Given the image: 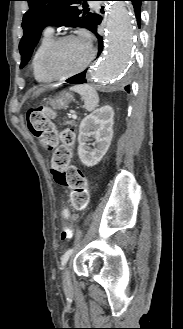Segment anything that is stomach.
I'll use <instances>...</instances> for the list:
<instances>
[{
    "label": "stomach",
    "mask_w": 183,
    "mask_h": 329,
    "mask_svg": "<svg viewBox=\"0 0 183 329\" xmlns=\"http://www.w3.org/2000/svg\"><path fill=\"white\" fill-rule=\"evenodd\" d=\"M73 99L74 98L70 93L63 91L60 93L59 96H57L54 99H51L49 103L54 109H63V108H67L68 104Z\"/></svg>",
    "instance_id": "1"
}]
</instances>
